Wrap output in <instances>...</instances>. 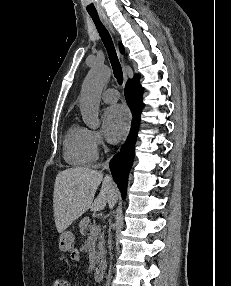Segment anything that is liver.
<instances>
[{
    "instance_id": "1",
    "label": "liver",
    "mask_w": 231,
    "mask_h": 286,
    "mask_svg": "<svg viewBox=\"0 0 231 286\" xmlns=\"http://www.w3.org/2000/svg\"><path fill=\"white\" fill-rule=\"evenodd\" d=\"M99 195L94 199L100 183ZM118 190L109 176L90 168H68L59 172L53 193L54 220L58 233L64 232L87 210L99 211L106 204L113 208Z\"/></svg>"
}]
</instances>
